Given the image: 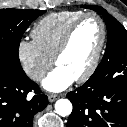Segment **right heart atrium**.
Returning <instances> with one entry per match:
<instances>
[{
	"label": "right heart atrium",
	"mask_w": 127,
	"mask_h": 127,
	"mask_svg": "<svg viewBox=\"0 0 127 127\" xmlns=\"http://www.w3.org/2000/svg\"><path fill=\"white\" fill-rule=\"evenodd\" d=\"M17 56L27 76L40 81L51 68L52 58L45 55L34 40L21 39L17 45Z\"/></svg>",
	"instance_id": "right-heart-atrium-1"
}]
</instances>
